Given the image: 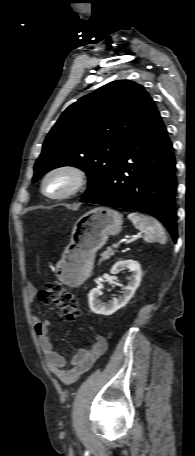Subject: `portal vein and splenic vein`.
<instances>
[{"label":"portal vein and splenic vein","mask_w":195,"mask_h":456,"mask_svg":"<svg viewBox=\"0 0 195 456\" xmlns=\"http://www.w3.org/2000/svg\"><path fill=\"white\" fill-rule=\"evenodd\" d=\"M119 246H120V243H114V244H112V247H113V248H118Z\"/></svg>","instance_id":"18ae733b"}]
</instances>
